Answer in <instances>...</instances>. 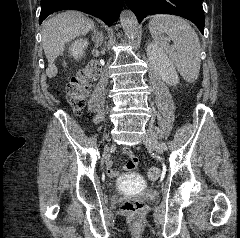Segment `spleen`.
I'll return each mask as SVG.
<instances>
[{"label": "spleen", "mask_w": 240, "mask_h": 238, "mask_svg": "<svg viewBox=\"0 0 240 238\" xmlns=\"http://www.w3.org/2000/svg\"><path fill=\"white\" fill-rule=\"evenodd\" d=\"M155 43L169 55L172 63L187 82H194L200 71L201 47L198 35L184 19L172 15H155L149 23ZM166 34L173 41L170 46Z\"/></svg>", "instance_id": "1"}]
</instances>
